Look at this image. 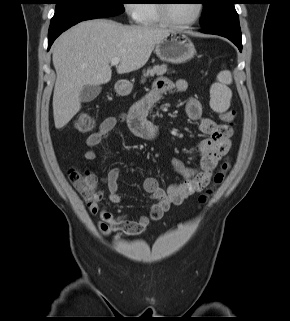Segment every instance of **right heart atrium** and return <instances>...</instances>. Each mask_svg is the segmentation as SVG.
Here are the masks:
<instances>
[{
	"mask_svg": "<svg viewBox=\"0 0 290 321\" xmlns=\"http://www.w3.org/2000/svg\"><path fill=\"white\" fill-rule=\"evenodd\" d=\"M124 8H125V12H126L127 16L131 20H137L138 19L137 5H134L131 0L127 1V3H125Z\"/></svg>",
	"mask_w": 290,
	"mask_h": 321,
	"instance_id": "obj_1",
	"label": "right heart atrium"
}]
</instances>
